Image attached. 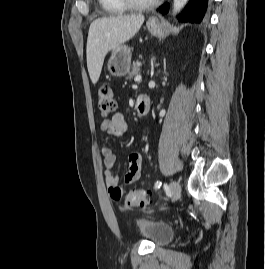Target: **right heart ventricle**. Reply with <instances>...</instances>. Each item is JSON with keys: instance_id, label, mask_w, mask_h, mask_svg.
<instances>
[{"instance_id": "obj_1", "label": "right heart ventricle", "mask_w": 265, "mask_h": 269, "mask_svg": "<svg viewBox=\"0 0 265 269\" xmlns=\"http://www.w3.org/2000/svg\"><path fill=\"white\" fill-rule=\"evenodd\" d=\"M102 9L108 13H123L128 8L120 0H98Z\"/></svg>"}]
</instances>
